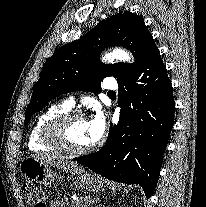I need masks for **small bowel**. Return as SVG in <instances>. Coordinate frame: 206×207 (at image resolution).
<instances>
[{
	"mask_svg": "<svg viewBox=\"0 0 206 207\" xmlns=\"http://www.w3.org/2000/svg\"><path fill=\"white\" fill-rule=\"evenodd\" d=\"M51 207H66V200H58L52 203Z\"/></svg>",
	"mask_w": 206,
	"mask_h": 207,
	"instance_id": "1",
	"label": "small bowel"
}]
</instances>
